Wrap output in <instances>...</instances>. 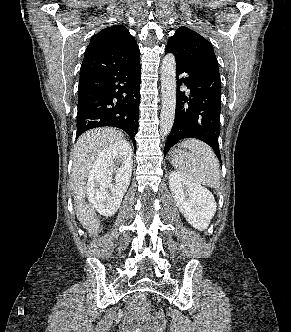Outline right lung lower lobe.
Returning <instances> with one entry per match:
<instances>
[{
    "mask_svg": "<svg viewBox=\"0 0 291 332\" xmlns=\"http://www.w3.org/2000/svg\"><path fill=\"white\" fill-rule=\"evenodd\" d=\"M140 58L114 69L80 75L78 87V138L102 126L124 130L136 148L140 103Z\"/></svg>",
    "mask_w": 291,
    "mask_h": 332,
    "instance_id": "98d812e1",
    "label": "right lung lower lobe"
}]
</instances>
